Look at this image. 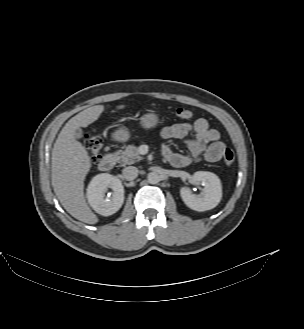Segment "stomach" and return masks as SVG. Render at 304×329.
<instances>
[{"label": "stomach", "instance_id": "stomach-1", "mask_svg": "<svg viewBox=\"0 0 304 329\" xmlns=\"http://www.w3.org/2000/svg\"><path fill=\"white\" fill-rule=\"evenodd\" d=\"M160 123L159 115L153 111L144 114L140 119V125L144 129H153ZM131 137L128 128L120 127L112 133V140L117 142H127Z\"/></svg>", "mask_w": 304, "mask_h": 329}]
</instances>
